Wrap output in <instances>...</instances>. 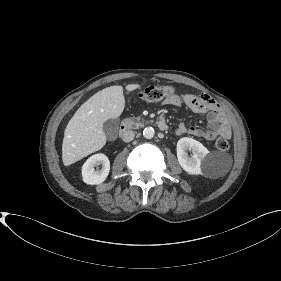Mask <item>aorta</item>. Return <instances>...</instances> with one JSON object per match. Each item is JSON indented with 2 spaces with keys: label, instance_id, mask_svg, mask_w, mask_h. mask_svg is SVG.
Returning a JSON list of instances; mask_svg holds the SVG:
<instances>
[{
  "label": "aorta",
  "instance_id": "762f6f07",
  "mask_svg": "<svg viewBox=\"0 0 281 281\" xmlns=\"http://www.w3.org/2000/svg\"><path fill=\"white\" fill-rule=\"evenodd\" d=\"M154 129L152 127H146L144 130H143V136L146 138V139H151L154 137Z\"/></svg>",
  "mask_w": 281,
  "mask_h": 281
}]
</instances>
